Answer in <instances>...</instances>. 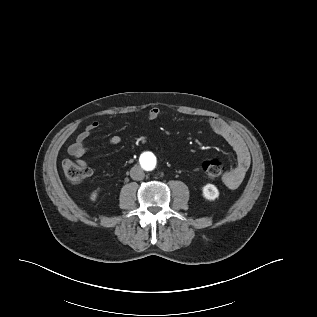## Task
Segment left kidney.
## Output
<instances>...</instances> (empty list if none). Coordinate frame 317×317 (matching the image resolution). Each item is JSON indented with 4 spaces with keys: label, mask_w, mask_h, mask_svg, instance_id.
Returning <instances> with one entry per match:
<instances>
[{
    "label": "left kidney",
    "mask_w": 317,
    "mask_h": 317,
    "mask_svg": "<svg viewBox=\"0 0 317 317\" xmlns=\"http://www.w3.org/2000/svg\"><path fill=\"white\" fill-rule=\"evenodd\" d=\"M202 191H203V196L207 200H214L219 196V191L213 184L205 185Z\"/></svg>",
    "instance_id": "left-kidney-1"
}]
</instances>
